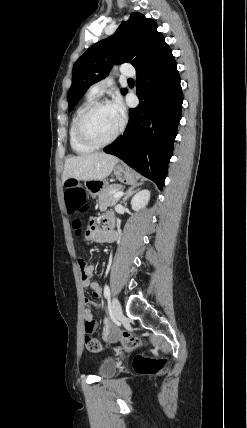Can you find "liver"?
<instances>
[{"mask_svg":"<svg viewBox=\"0 0 247 428\" xmlns=\"http://www.w3.org/2000/svg\"><path fill=\"white\" fill-rule=\"evenodd\" d=\"M118 161L117 157L103 152L67 158L62 181L65 182L70 178L81 181L104 180L111 174Z\"/></svg>","mask_w":247,"mask_h":428,"instance_id":"1","label":"liver"}]
</instances>
